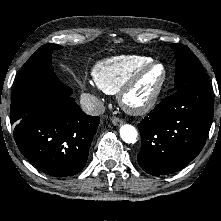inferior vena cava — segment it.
I'll return each instance as SVG.
<instances>
[{"instance_id":"602c4592","label":"inferior vena cava","mask_w":221,"mask_h":221,"mask_svg":"<svg viewBox=\"0 0 221 221\" xmlns=\"http://www.w3.org/2000/svg\"><path fill=\"white\" fill-rule=\"evenodd\" d=\"M81 108L90 115H101L105 112L103 102L91 94H82L80 98Z\"/></svg>"}]
</instances>
